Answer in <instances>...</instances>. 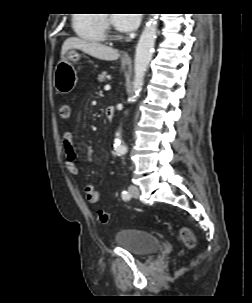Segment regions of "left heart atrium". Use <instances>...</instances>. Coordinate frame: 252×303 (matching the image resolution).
Returning a JSON list of instances; mask_svg holds the SVG:
<instances>
[{"label":"left heart atrium","mask_w":252,"mask_h":303,"mask_svg":"<svg viewBox=\"0 0 252 303\" xmlns=\"http://www.w3.org/2000/svg\"><path fill=\"white\" fill-rule=\"evenodd\" d=\"M114 25L121 32H131L135 30L140 23L139 14H114Z\"/></svg>","instance_id":"39dd6f15"}]
</instances>
